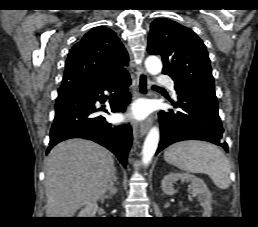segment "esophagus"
I'll use <instances>...</instances> for the list:
<instances>
[{
    "label": "esophagus",
    "instance_id": "1",
    "mask_svg": "<svg viewBox=\"0 0 258 227\" xmlns=\"http://www.w3.org/2000/svg\"><path fill=\"white\" fill-rule=\"evenodd\" d=\"M137 94L138 96L148 97L151 95L150 80L148 74L140 70L137 74ZM152 124V117L142 122L139 126V133L145 135Z\"/></svg>",
    "mask_w": 258,
    "mask_h": 227
}]
</instances>
